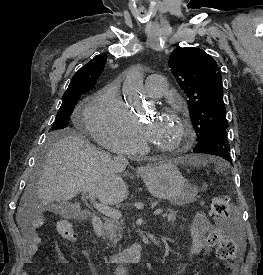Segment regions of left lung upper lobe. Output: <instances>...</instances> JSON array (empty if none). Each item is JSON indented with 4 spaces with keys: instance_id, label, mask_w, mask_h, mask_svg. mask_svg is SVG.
<instances>
[{
    "instance_id": "5c2ea615",
    "label": "left lung upper lobe",
    "mask_w": 263,
    "mask_h": 275,
    "mask_svg": "<svg viewBox=\"0 0 263 275\" xmlns=\"http://www.w3.org/2000/svg\"><path fill=\"white\" fill-rule=\"evenodd\" d=\"M169 67L188 97L197 141L226 130L222 75L214 59L199 48H177L170 55Z\"/></svg>"
}]
</instances>
